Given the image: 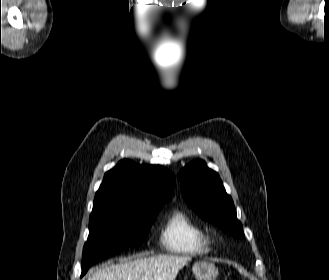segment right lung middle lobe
<instances>
[{
  "mask_svg": "<svg viewBox=\"0 0 329 280\" xmlns=\"http://www.w3.org/2000/svg\"><path fill=\"white\" fill-rule=\"evenodd\" d=\"M167 200H156L145 205L120 201L94 205L89 236L83 248L81 276L95 262L129 246L140 245Z\"/></svg>",
  "mask_w": 329,
  "mask_h": 280,
  "instance_id": "obj_1",
  "label": "right lung middle lobe"
}]
</instances>
